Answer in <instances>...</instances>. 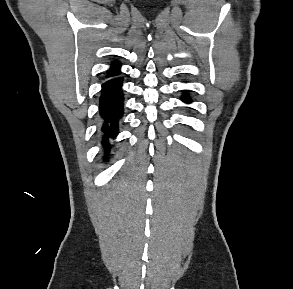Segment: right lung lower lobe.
Wrapping results in <instances>:
<instances>
[{
	"label": "right lung lower lobe",
	"mask_w": 293,
	"mask_h": 289,
	"mask_svg": "<svg viewBox=\"0 0 293 289\" xmlns=\"http://www.w3.org/2000/svg\"><path fill=\"white\" fill-rule=\"evenodd\" d=\"M122 82L123 78L118 77L108 80L102 85L99 111L103 119L102 143L107 153L111 148L108 139L118 134V121L123 114Z\"/></svg>",
	"instance_id": "98d812e1"
}]
</instances>
